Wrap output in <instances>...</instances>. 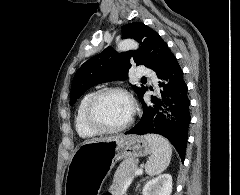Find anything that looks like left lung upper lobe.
Segmentation results:
<instances>
[{
  "label": "left lung upper lobe",
  "instance_id": "1",
  "mask_svg": "<svg viewBox=\"0 0 240 195\" xmlns=\"http://www.w3.org/2000/svg\"><path fill=\"white\" fill-rule=\"evenodd\" d=\"M122 38H133L140 47L137 51L117 53L110 48L86 61L76 72L70 93L73 104L86 90L97 84L125 80L134 65H144L155 73L166 63L172 54L167 44L157 32L143 23H130L122 27ZM141 103L147 87L133 86Z\"/></svg>",
  "mask_w": 240,
  "mask_h": 195
}]
</instances>
